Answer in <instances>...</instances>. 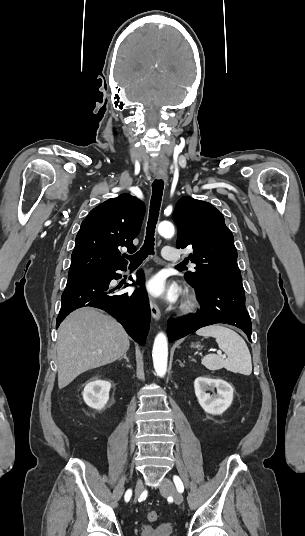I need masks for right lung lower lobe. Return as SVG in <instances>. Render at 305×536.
<instances>
[{
    "instance_id": "98d812e1",
    "label": "right lung lower lobe",
    "mask_w": 305,
    "mask_h": 536,
    "mask_svg": "<svg viewBox=\"0 0 305 536\" xmlns=\"http://www.w3.org/2000/svg\"><path fill=\"white\" fill-rule=\"evenodd\" d=\"M116 270L124 271L126 267L109 270L103 278L84 276L68 279L56 328L73 310L92 306L108 312L124 326L129 336L144 345L151 318L147 295L143 289L132 294L115 295L114 289H109V283L112 279L119 278ZM142 282L143 276L139 271L137 283Z\"/></svg>"
}]
</instances>
